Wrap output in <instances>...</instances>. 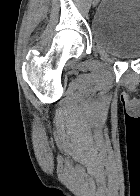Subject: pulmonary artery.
Instances as JSON below:
<instances>
[{
	"label": "pulmonary artery",
	"mask_w": 140,
	"mask_h": 196,
	"mask_svg": "<svg viewBox=\"0 0 140 196\" xmlns=\"http://www.w3.org/2000/svg\"><path fill=\"white\" fill-rule=\"evenodd\" d=\"M76 192H85V191H76Z\"/></svg>",
	"instance_id": "1"
}]
</instances>
